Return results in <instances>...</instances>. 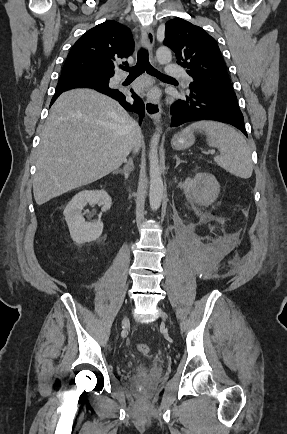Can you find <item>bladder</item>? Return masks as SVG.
<instances>
[{
  "label": "bladder",
  "instance_id": "31cf9c89",
  "mask_svg": "<svg viewBox=\"0 0 287 434\" xmlns=\"http://www.w3.org/2000/svg\"><path fill=\"white\" fill-rule=\"evenodd\" d=\"M134 371L137 373H145L148 371V366L146 363H138L135 367H134Z\"/></svg>",
  "mask_w": 287,
  "mask_h": 434
}]
</instances>
